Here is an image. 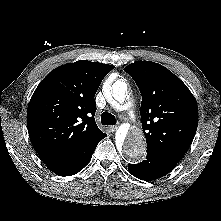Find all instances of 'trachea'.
Returning a JSON list of instances; mask_svg holds the SVG:
<instances>
[{
    "instance_id": "obj_1",
    "label": "trachea",
    "mask_w": 221,
    "mask_h": 221,
    "mask_svg": "<svg viewBox=\"0 0 221 221\" xmlns=\"http://www.w3.org/2000/svg\"><path fill=\"white\" fill-rule=\"evenodd\" d=\"M101 123L102 125H115L116 118L111 113L104 112L101 116Z\"/></svg>"
}]
</instances>
